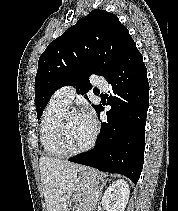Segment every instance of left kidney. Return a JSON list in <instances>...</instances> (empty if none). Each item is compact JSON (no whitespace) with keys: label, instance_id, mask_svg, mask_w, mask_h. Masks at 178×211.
Wrapping results in <instances>:
<instances>
[{"label":"left kidney","instance_id":"obj_1","mask_svg":"<svg viewBox=\"0 0 178 211\" xmlns=\"http://www.w3.org/2000/svg\"><path fill=\"white\" fill-rule=\"evenodd\" d=\"M130 189L123 179L113 182L102 196V206L107 211H124L129 200Z\"/></svg>","mask_w":178,"mask_h":211}]
</instances>
